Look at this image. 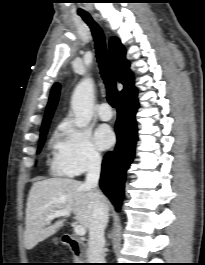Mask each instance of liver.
<instances>
[{
  "mask_svg": "<svg viewBox=\"0 0 205 265\" xmlns=\"http://www.w3.org/2000/svg\"><path fill=\"white\" fill-rule=\"evenodd\" d=\"M95 198L108 208L106 198L99 191L86 187L80 181L51 178L35 182L27 199L25 248L31 250L64 225V219L53 224L47 222V216L55 211L68 210L74 213L76 221L88 229L92 220Z\"/></svg>",
  "mask_w": 205,
  "mask_h": 265,
  "instance_id": "obj_1",
  "label": "liver"
}]
</instances>
